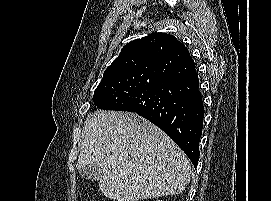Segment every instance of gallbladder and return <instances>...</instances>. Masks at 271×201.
Returning <instances> with one entry per match:
<instances>
[{
	"label": "gallbladder",
	"mask_w": 271,
	"mask_h": 201,
	"mask_svg": "<svg viewBox=\"0 0 271 201\" xmlns=\"http://www.w3.org/2000/svg\"><path fill=\"white\" fill-rule=\"evenodd\" d=\"M79 173L85 179L98 181L103 175V170L98 165H90L81 168Z\"/></svg>",
	"instance_id": "1"
}]
</instances>
